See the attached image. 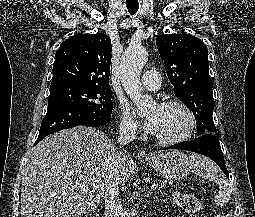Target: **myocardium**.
Returning a JSON list of instances; mask_svg holds the SVG:
<instances>
[{
  "label": "myocardium",
  "mask_w": 255,
  "mask_h": 217,
  "mask_svg": "<svg viewBox=\"0 0 255 217\" xmlns=\"http://www.w3.org/2000/svg\"><path fill=\"white\" fill-rule=\"evenodd\" d=\"M160 106L161 107L176 106L181 108L188 118V125L183 133L175 137L164 138L154 135L156 142L162 145H175L188 140L192 136L196 127V118L190 106L184 101L176 98L165 100L160 104Z\"/></svg>",
  "instance_id": "f54148a6"
}]
</instances>
